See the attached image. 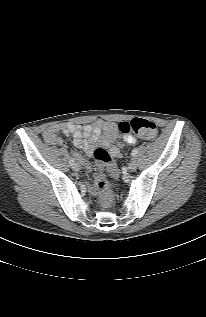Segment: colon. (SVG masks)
Segmentation results:
<instances>
[{
  "instance_id": "colon-1",
  "label": "colon",
  "mask_w": 206,
  "mask_h": 317,
  "mask_svg": "<svg viewBox=\"0 0 206 317\" xmlns=\"http://www.w3.org/2000/svg\"><path fill=\"white\" fill-rule=\"evenodd\" d=\"M118 131L125 135L133 132L146 140H153L157 136L155 123L143 118H133L129 121L121 122L118 125ZM93 156L101 168H107L113 176L118 175V169L112 162V157L108 150L97 148L94 150ZM95 186L99 192L101 203L105 207H109L112 203L111 188L102 171L96 177Z\"/></svg>"
}]
</instances>
